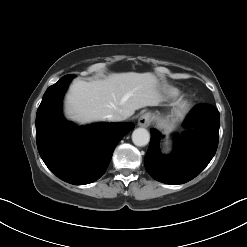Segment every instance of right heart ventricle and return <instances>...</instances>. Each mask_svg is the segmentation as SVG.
I'll return each instance as SVG.
<instances>
[{
    "instance_id": "1",
    "label": "right heart ventricle",
    "mask_w": 247,
    "mask_h": 247,
    "mask_svg": "<svg viewBox=\"0 0 247 247\" xmlns=\"http://www.w3.org/2000/svg\"><path fill=\"white\" fill-rule=\"evenodd\" d=\"M169 93H170L171 96L175 97V96H177L179 94V91L176 90V89H171L169 91Z\"/></svg>"
}]
</instances>
